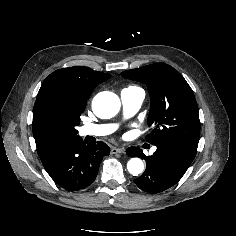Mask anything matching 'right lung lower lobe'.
<instances>
[{"label":"right lung lower lobe","mask_w":236,"mask_h":236,"mask_svg":"<svg viewBox=\"0 0 236 236\" xmlns=\"http://www.w3.org/2000/svg\"><path fill=\"white\" fill-rule=\"evenodd\" d=\"M35 142L47 173L56 184L68 191H78L89 186L97 176L101 160L110 154V148L105 143L86 145L78 135Z\"/></svg>","instance_id":"right-lung-lower-lobe-1"}]
</instances>
